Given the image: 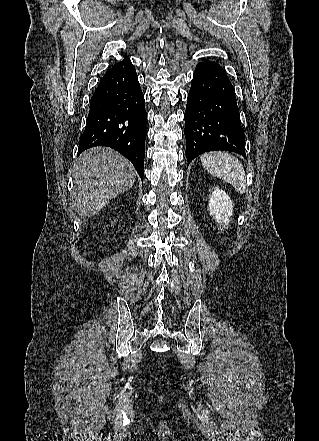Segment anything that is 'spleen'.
Listing matches in <instances>:
<instances>
[{
    "instance_id": "spleen-1",
    "label": "spleen",
    "mask_w": 319,
    "mask_h": 441,
    "mask_svg": "<svg viewBox=\"0 0 319 441\" xmlns=\"http://www.w3.org/2000/svg\"><path fill=\"white\" fill-rule=\"evenodd\" d=\"M201 162L211 175L231 184L240 194L245 193V171L236 157L226 152H210L201 156Z\"/></svg>"
}]
</instances>
